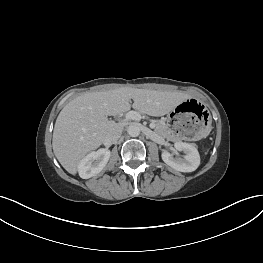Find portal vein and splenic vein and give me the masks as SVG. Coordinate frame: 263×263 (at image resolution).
<instances>
[{"mask_svg": "<svg viewBox=\"0 0 263 263\" xmlns=\"http://www.w3.org/2000/svg\"><path fill=\"white\" fill-rule=\"evenodd\" d=\"M126 118L127 119H131V120L139 121V120H141L142 116H141L140 113H138L136 111H129V112L126 113ZM149 127L151 129H154L155 128L154 122L150 123Z\"/></svg>", "mask_w": 263, "mask_h": 263, "instance_id": "18ae733b", "label": "portal vein and splenic vein"}]
</instances>
